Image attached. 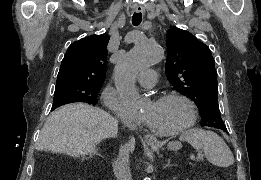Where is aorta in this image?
<instances>
[{"label": "aorta", "instance_id": "obj_1", "mask_svg": "<svg viewBox=\"0 0 261 180\" xmlns=\"http://www.w3.org/2000/svg\"><path fill=\"white\" fill-rule=\"evenodd\" d=\"M163 58L164 51L157 44L142 41L136 43L115 66V85L123 104L129 110H139L143 105L135 87L138 73L159 63Z\"/></svg>", "mask_w": 261, "mask_h": 180}]
</instances>
